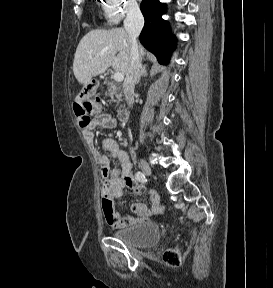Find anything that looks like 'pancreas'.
I'll return each instance as SVG.
<instances>
[{
    "mask_svg": "<svg viewBox=\"0 0 273 288\" xmlns=\"http://www.w3.org/2000/svg\"><path fill=\"white\" fill-rule=\"evenodd\" d=\"M107 84V96L111 97V101L119 104L122 100V93L120 92V87L116 83L106 82Z\"/></svg>",
    "mask_w": 273,
    "mask_h": 288,
    "instance_id": "cf45deb5",
    "label": "pancreas"
}]
</instances>
